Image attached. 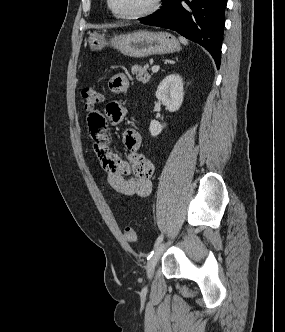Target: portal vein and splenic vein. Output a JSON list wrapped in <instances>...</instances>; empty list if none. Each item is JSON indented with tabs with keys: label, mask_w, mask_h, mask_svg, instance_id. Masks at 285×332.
<instances>
[{
	"label": "portal vein and splenic vein",
	"mask_w": 285,
	"mask_h": 332,
	"mask_svg": "<svg viewBox=\"0 0 285 332\" xmlns=\"http://www.w3.org/2000/svg\"><path fill=\"white\" fill-rule=\"evenodd\" d=\"M159 65H154L153 67H152V72L153 73H156L158 70H159Z\"/></svg>",
	"instance_id": "portal-vein-and-splenic-vein-1"
}]
</instances>
